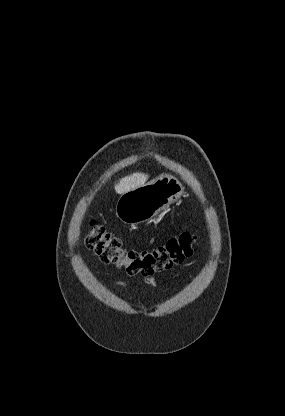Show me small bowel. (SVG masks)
Here are the masks:
<instances>
[{
  "label": "small bowel",
  "instance_id": "c3829d8e",
  "mask_svg": "<svg viewBox=\"0 0 285 416\" xmlns=\"http://www.w3.org/2000/svg\"><path fill=\"white\" fill-rule=\"evenodd\" d=\"M145 282L148 285L152 286V287H155L156 286L154 279L151 278V277H147L146 280H145ZM115 284L118 285V286H121V287H126V284L124 282H116Z\"/></svg>",
  "mask_w": 285,
  "mask_h": 416
}]
</instances>
